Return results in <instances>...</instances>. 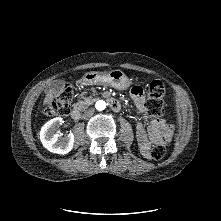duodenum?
<instances>
[{
  "mask_svg": "<svg viewBox=\"0 0 221 221\" xmlns=\"http://www.w3.org/2000/svg\"><path fill=\"white\" fill-rule=\"evenodd\" d=\"M83 84H84V81L81 83V85H83ZM104 98L108 101L109 106L111 107L112 110H114V111H120L121 110L122 104L117 98L112 97L109 94H105ZM80 115H81V111H80L79 108H74L71 112V117L74 120L79 119Z\"/></svg>",
  "mask_w": 221,
  "mask_h": 221,
  "instance_id": "410a0bca",
  "label": "duodenum"
}]
</instances>
